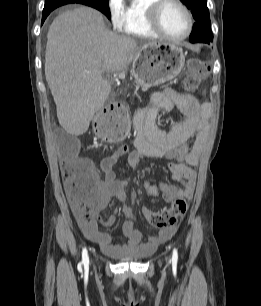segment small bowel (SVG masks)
<instances>
[{
  "label": "small bowel",
  "instance_id": "small-bowel-1",
  "mask_svg": "<svg viewBox=\"0 0 261 306\" xmlns=\"http://www.w3.org/2000/svg\"><path fill=\"white\" fill-rule=\"evenodd\" d=\"M177 107L184 115V120L175 124L168 132L157 127L160 115L170 112ZM210 106L201 105L197 99L187 93L177 92L166 88L153 94L150 104L140 110L134 118V149L124 144L113 153L102 159L100 168L103 177L94 170L93 191L94 197L90 207L77 213L76 219L84 236L97 244L104 254L119 257L128 253H151L159 244L171 239L176 232V227L163 228L157 235L143 241L142 234L134 227L132 218L134 214L130 207L124 204L126 183L117 178L113 166L118 159L127 155V163L131 168H137L143 159H163L168 161L171 178L181 184L180 187L161 181L156 185L150 181L144 183L148 195L156 197L160 194L166 202L184 197L190 199L194 190L196 166L202 156L206 143V130L204 119L208 116ZM194 139L191 146L188 141ZM79 162L91 163L85 158H77ZM62 171L68 166L64 158L61 161ZM93 166V165H92ZM112 200L123 203V213L127 220L120 227L119 234L126 239L124 244H116L113 236L99 230L112 227L115 216L110 215L98 222L101 211L107 208ZM146 214L148 210L143 208Z\"/></svg>",
  "mask_w": 261,
  "mask_h": 306
}]
</instances>
